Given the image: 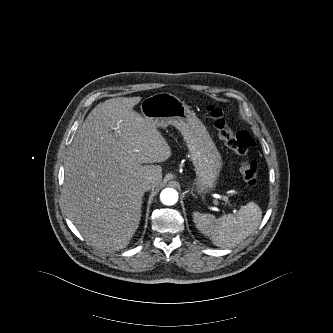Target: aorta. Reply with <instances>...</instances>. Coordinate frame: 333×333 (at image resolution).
<instances>
[{
    "instance_id": "aorta-1",
    "label": "aorta",
    "mask_w": 333,
    "mask_h": 333,
    "mask_svg": "<svg viewBox=\"0 0 333 333\" xmlns=\"http://www.w3.org/2000/svg\"><path fill=\"white\" fill-rule=\"evenodd\" d=\"M160 200L164 205H174L178 201V192L173 188H165L160 193Z\"/></svg>"
}]
</instances>
